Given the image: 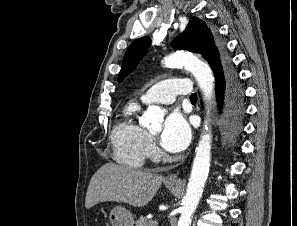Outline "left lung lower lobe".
Here are the masks:
<instances>
[{"label":"left lung lower lobe","instance_id":"left-lung-lower-lobe-1","mask_svg":"<svg viewBox=\"0 0 297 226\" xmlns=\"http://www.w3.org/2000/svg\"><path fill=\"white\" fill-rule=\"evenodd\" d=\"M215 79V90L219 107L223 109L225 129L227 134L234 138L242 129V119L245 113L243 91L229 61L223 71L215 74Z\"/></svg>","mask_w":297,"mask_h":226}]
</instances>
